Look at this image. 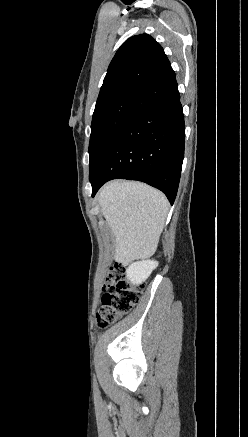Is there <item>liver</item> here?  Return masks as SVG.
Wrapping results in <instances>:
<instances>
[{
  "label": "liver",
  "instance_id": "1",
  "mask_svg": "<svg viewBox=\"0 0 248 437\" xmlns=\"http://www.w3.org/2000/svg\"><path fill=\"white\" fill-rule=\"evenodd\" d=\"M97 200L116 240L117 262L128 264L155 253L169 208L162 192L141 182L115 180L101 188Z\"/></svg>",
  "mask_w": 248,
  "mask_h": 437
}]
</instances>
